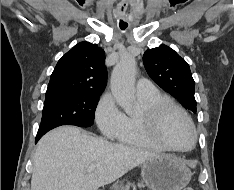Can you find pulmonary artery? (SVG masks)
<instances>
[{
  "instance_id": "pulmonary-artery-1",
  "label": "pulmonary artery",
  "mask_w": 234,
  "mask_h": 190,
  "mask_svg": "<svg viewBox=\"0 0 234 190\" xmlns=\"http://www.w3.org/2000/svg\"><path fill=\"white\" fill-rule=\"evenodd\" d=\"M157 89L154 84L145 78L139 79L137 82V94L138 95H148L156 92Z\"/></svg>"
}]
</instances>
